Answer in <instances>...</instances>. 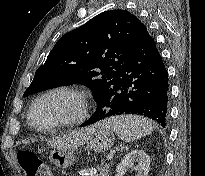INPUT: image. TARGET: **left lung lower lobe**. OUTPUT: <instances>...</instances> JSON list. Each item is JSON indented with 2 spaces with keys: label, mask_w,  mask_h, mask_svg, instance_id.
Masks as SVG:
<instances>
[{
  "label": "left lung lower lobe",
  "mask_w": 205,
  "mask_h": 176,
  "mask_svg": "<svg viewBox=\"0 0 205 176\" xmlns=\"http://www.w3.org/2000/svg\"><path fill=\"white\" fill-rule=\"evenodd\" d=\"M168 73L147 29L125 58L117 79L97 110L81 127L109 117L137 114L165 127L168 120Z\"/></svg>",
  "instance_id": "0a47b994"
}]
</instances>
